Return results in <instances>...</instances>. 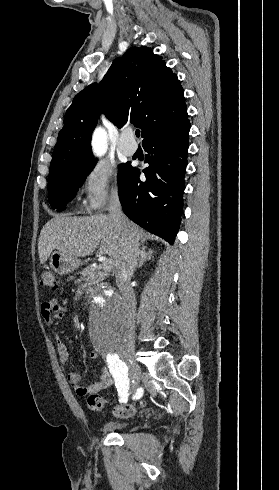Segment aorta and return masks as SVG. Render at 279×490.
I'll list each match as a JSON object with an SVG mask.
<instances>
[{"instance_id":"aorta-1","label":"aorta","mask_w":279,"mask_h":490,"mask_svg":"<svg viewBox=\"0 0 279 490\" xmlns=\"http://www.w3.org/2000/svg\"><path fill=\"white\" fill-rule=\"evenodd\" d=\"M92 148L98 156L107 151V135L101 127L93 133ZM88 320L91 340L101 353L108 354L131 338L123 303L112 289L101 290L93 296Z\"/></svg>"}]
</instances>
